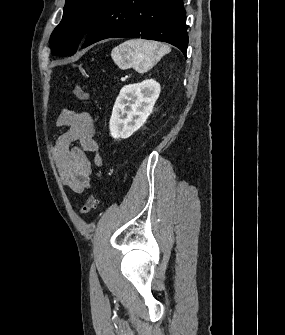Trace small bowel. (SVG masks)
<instances>
[{"label":"small bowel","mask_w":285,"mask_h":335,"mask_svg":"<svg viewBox=\"0 0 285 335\" xmlns=\"http://www.w3.org/2000/svg\"><path fill=\"white\" fill-rule=\"evenodd\" d=\"M56 124L67 128L52 148L57 171L64 186L74 193H82L91 185L93 164L102 163L95 141L94 120L87 112L64 110ZM89 154H93V160Z\"/></svg>","instance_id":"c3829d8e"}]
</instances>
